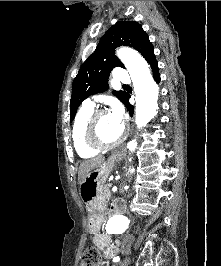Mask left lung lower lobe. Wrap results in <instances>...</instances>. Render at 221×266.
<instances>
[{
	"mask_svg": "<svg viewBox=\"0 0 221 266\" xmlns=\"http://www.w3.org/2000/svg\"><path fill=\"white\" fill-rule=\"evenodd\" d=\"M151 69H152V74H153V78L154 80L159 83L160 82V74H159V69H158V62L155 61L151 64ZM129 99V95L127 96L126 100L124 101V105L126 106V108L129 110L130 115H133V106L130 105V103L128 102Z\"/></svg>",
	"mask_w": 221,
	"mask_h": 266,
	"instance_id": "1",
	"label": "left lung lower lobe"
}]
</instances>
